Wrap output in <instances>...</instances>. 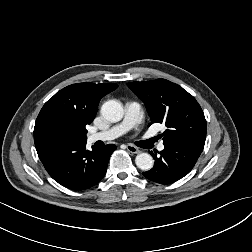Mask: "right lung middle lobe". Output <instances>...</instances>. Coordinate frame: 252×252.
<instances>
[{"mask_svg":"<svg viewBox=\"0 0 252 252\" xmlns=\"http://www.w3.org/2000/svg\"><path fill=\"white\" fill-rule=\"evenodd\" d=\"M67 141H86V137L77 136L62 130H53L47 134L44 140V146H50Z\"/></svg>","mask_w":252,"mask_h":252,"instance_id":"right-lung-middle-lobe-1","label":"right lung middle lobe"}]
</instances>
